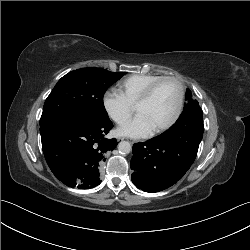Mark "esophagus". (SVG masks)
Returning <instances> with one entry per match:
<instances>
[{
	"label": "esophagus",
	"instance_id": "obj_1",
	"mask_svg": "<svg viewBox=\"0 0 250 250\" xmlns=\"http://www.w3.org/2000/svg\"><path fill=\"white\" fill-rule=\"evenodd\" d=\"M137 141H135V140H130V143H132V144H134V143H136Z\"/></svg>",
	"mask_w": 250,
	"mask_h": 250
}]
</instances>
